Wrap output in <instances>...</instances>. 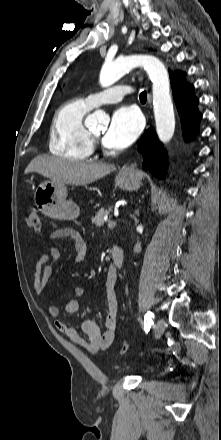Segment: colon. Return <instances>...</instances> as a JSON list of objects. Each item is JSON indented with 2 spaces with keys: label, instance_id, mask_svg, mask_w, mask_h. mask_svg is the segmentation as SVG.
Wrapping results in <instances>:
<instances>
[{
  "label": "colon",
  "instance_id": "5ec220e1",
  "mask_svg": "<svg viewBox=\"0 0 221 440\" xmlns=\"http://www.w3.org/2000/svg\"><path fill=\"white\" fill-rule=\"evenodd\" d=\"M26 221L28 227H30L34 231L39 232L41 230V215L37 209L32 208L28 211ZM127 350H128V343L123 342L120 348V352L125 353Z\"/></svg>",
  "mask_w": 221,
  "mask_h": 440
}]
</instances>
